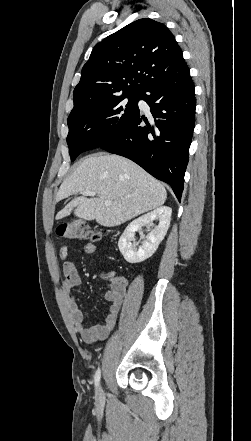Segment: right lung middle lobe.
I'll list each match as a JSON object with an SVG mask.
<instances>
[{
	"label": "right lung middle lobe",
	"instance_id": "dd1d6c3e",
	"mask_svg": "<svg viewBox=\"0 0 251 441\" xmlns=\"http://www.w3.org/2000/svg\"><path fill=\"white\" fill-rule=\"evenodd\" d=\"M139 97L137 94L120 95L77 106L68 117L67 144L71 161L118 134L138 111Z\"/></svg>",
	"mask_w": 251,
	"mask_h": 441
}]
</instances>
